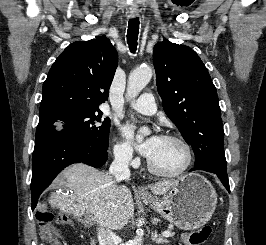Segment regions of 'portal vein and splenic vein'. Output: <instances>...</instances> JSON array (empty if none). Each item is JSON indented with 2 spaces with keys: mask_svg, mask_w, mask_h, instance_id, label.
Returning <instances> with one entry per match:
<instances>
[{
  "mask_svg": "<svg viewBox=\"0 0 266 245\" xmlns=\"http://www.w3.org/2000/svg\"><path fill=\"white\" fill-rule=\"evenodd\" d=\"M163 237H171L172 233L171 231H164V233H162Z\"/></svg>",
  "mask_w": 266,
  "mask_h": 245,
  "instance_id": "18ae733b",
  "label": "portal vein and splenic vein"
}]
</instances>
